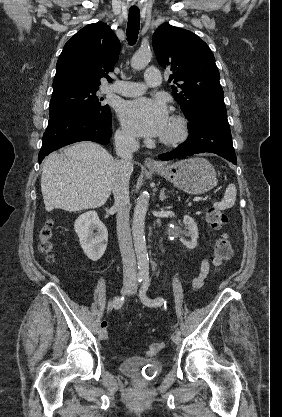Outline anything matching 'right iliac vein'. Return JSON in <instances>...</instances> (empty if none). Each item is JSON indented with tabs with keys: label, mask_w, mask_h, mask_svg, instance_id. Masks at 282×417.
<instances>
[{
	"label": "right iliac vein",
	"mask_w": 282,
	"mask_h": 417,
	"mask_svg": "<svg viewBox=\"0 0 282 417\" xmlns=\"http://www.w3.org/2000/svg\"><path fill=\"white\" fill-rule=\"evenodd\" d=\"M133 289V285L131 283H124L121 289V293L122 294H127L129 292H131V290ZM99 338L102 340H105L108 338V333L105 330L100 331L99 333Z\"/></svg>",
	"instance_id": "63e3f726"
}]
</instances>
